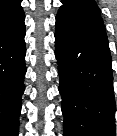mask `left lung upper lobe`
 <instances>
[{"label":"left lung upper lobe","instance_id":"obj_1","mask_svg":"<svg viewBox=\"0 0 117 136\" xmlns=\"http://www.w3.org/2000/svg\"><path fill=\"white\" fill-rule=\"evenodd\" d=\"M58 14L68 15L74 19L103 26L99 7L94 0H62Z\"/></svg>","mask_w":117,"mask_h":136}]
</instances>
